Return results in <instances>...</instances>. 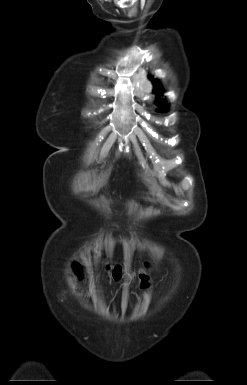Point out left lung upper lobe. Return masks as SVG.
Listing matches in <instances>:
<instances>
[{"label":"left lung upper lobe","instance_id":"1","mask_svg":"<svg viewBox=\"0 0 247 385\" xmlns=\"http://www.w3.org/2000/svg\"><path fill=\"white\" fill-rule=\"evenodd\" d=\"M154 85H155L154 91L156 92L157 96H159L162 93V89L156 80H154ZM162 106L163 107L159 110L160 112H164V111L168 110L167 109L168 105L166 103H163Z\"/></svg>","mask_w":247,"mask_h":385}]
</instances>
